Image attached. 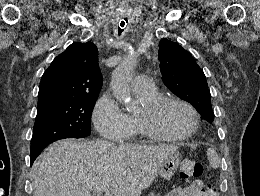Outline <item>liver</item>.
I'll use <instances>...</instances> for the list:
<instances>
[{
	"mask_svg": "<svg viewBox=\"0 0 260 196\" xmlns=\"http://www.w3.org/2000/svg\"><path fill=\"white\" fill-rule=\"evenodd\" d=\"M179 146H135L113 142L58 140L31 168L33 196H141L152 186L164 158Z\"/></svg>",
	"mask_w": 260,
	"mask_h": 196,
	"instance_id": "6515ba94",
	"label": "liver"
}]
</instances>
